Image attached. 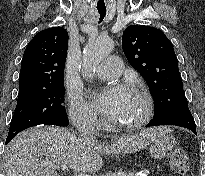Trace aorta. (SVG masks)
I'll return each instance as SVG.
<instances>
[{
	"label": "aorta",
	"mask_w": 205,
	"mask_h": 176,
	"mask_svg": "<svg viewBox=\"0 0 205 176\" xmlns=\"http://www.w3.org/2000/svg\"><path fill=\"white\" fill-rule=\"evenodd\" d=\"M114 42L110 38L90 41L83 53L82 68L83 75L91 78L99 63L113 50Z\"/></svg>",
	"instance_id": "762f6f07"
}]
</instances>
